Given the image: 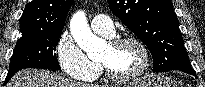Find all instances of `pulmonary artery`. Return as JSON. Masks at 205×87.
Masks as SVG:
<instances>
[{
  "mask_svg": "<svg viewBox=\"0 0 205 87\" xmlns=\"http://www.w3.org/2000/svg\"><path fill=\"white\" fill-rule=\"evenodd\" d=\"M91 28L98 34L111 37L115 33L113 21L105 14H97L91 20Z\"/></svg>",
  "mask_w": 205,
  "mask_h": 87,
  "instance_id": "1",
  "label": "pulmonary artery"
}]
</instances>
